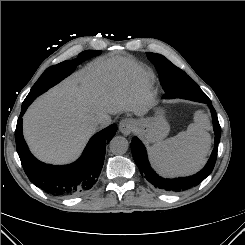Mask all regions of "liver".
<instances>
[{"label": "liver", "mask_w": 245, "mask_h": 245, "mask_svg": "<svg viewBox=\"0 0 245 245\" xmlns=\"http://www.w3.org/2000/svg\"><path fill=\"white\" fill-rule=\"evenodd\" d=\"M131 59L116 56L97 61L39 97L23 118L24 137L42 161L61 164L78 157L109 114L144 115L147 90Z\"/></svg>", "instance_id": "6515ba94"}]
</instances>
